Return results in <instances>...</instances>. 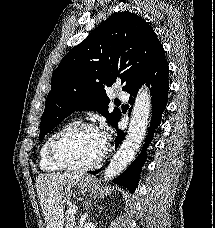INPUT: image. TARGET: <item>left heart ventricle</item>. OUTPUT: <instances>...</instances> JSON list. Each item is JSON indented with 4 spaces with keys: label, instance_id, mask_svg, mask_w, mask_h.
<instances>
[{
    "label": "left heart ventricle",
    "instance_id": "obj_1",
    "mask_svg": "<svg viewBox=\"0 0 215 228\" xmlns=\"http://www.w3.org/2000/svg\"><path fill=\"white\" fill-rule=\"evenodd\" d=\"M104 149L99 131L79 129L67 135L60 142L57 153L63 162L83 166L95 162Z\"/></svg>",
    "mask_w": 215,
    "mask_h": 228
}]
</instances>
